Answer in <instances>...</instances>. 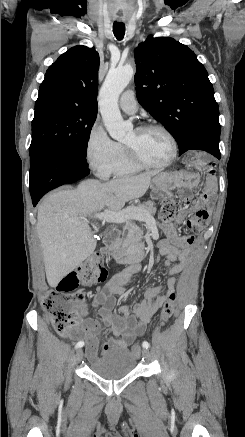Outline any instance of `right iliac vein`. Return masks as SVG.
<instances>
[{
	"label": "right iliac vein",
	"mask_w": 245,
	"mask_h": 437,
	"mask_svg": "<svg viewBox=\"0 0 245 437\" xmlns=\"http://www.w3.org/2000/svg\"><path fill=\"white\" fill-rule=\"evenodd\" d=\"M82 356H83V350H82V349H78V350L76 351V354H75V359H76V361H80L81 358H82Z\"/></svg>",
	"instance_id": "1"
}]
</instances>
